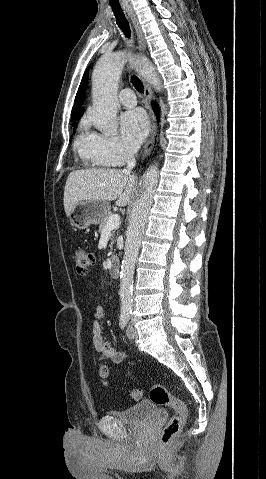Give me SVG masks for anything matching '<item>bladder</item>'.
<instances>
[{"label": "bladder", "mask_w": 266, "mask_h": 479, "mask_svg": "<svg viewBox=\"0 0 266 479\" xmlns=\"http://www.w3.org/2000/svg\"><path fill=\"white\" fill-rule=\"evenodd\" d=\"M158 407L153 401H142L120 411H110L109 415L121 423L142 424L148 419L156 416Z\"/></svg>", "instance_id": "obj_1"}]
</instances>
